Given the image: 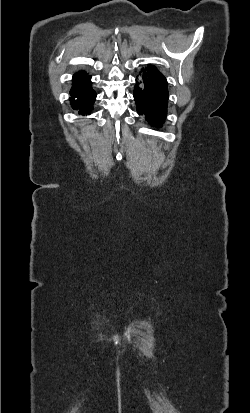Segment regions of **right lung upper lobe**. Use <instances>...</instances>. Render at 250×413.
Returning a JSON list of instances; mask_svg holds the SVG:
<instances>
[{
    "label": "right lung upper lobe",
    "mask_w": 250,
    "mask_h": 413,
    "mask_svg": "<svg viewBox=\"0 0 250 413\" xmlns=\"http://www.w3.org/2000/svg\"><path fill=\"white\" fill-rule=\"evenodd\" d=\"M85 75H86V73H85L84 71L78 72V73H76V74L74 75L73 80H76V79H78V78H81V77H83V76H85Z\"/></svg>",
    "instance_id": "1"
}]
</instances>
